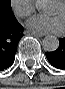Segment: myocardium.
<instances>
[{"label": "myocardium", "instance_id": "1", "mask_svg": "<svg viewBox=\"0 0 65 89\" xmlns=\"http://www.w3.org/2000/svg\"><path fill=\"white\" fill-rule=\"evenodd\" d=\"M58 3L61 4L63 6L64 10H65V2L59 1Z\"/></svg>", "mask_w": 65, "mask_h": 89}]
</instances>
